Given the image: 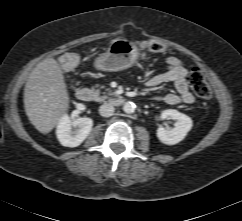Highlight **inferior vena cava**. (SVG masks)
<instances>
[{"mask_svg": "<svg viewBox=\"0 0 242 221\" xmlns=\"http://www.w3.org/2000/svg\"><path fill=\"white\" fill-rule=\"evenodd\" d=\"M115 108L109 103H105L100 106L99 113L103 117H110L114 114Z\"/></svg>", "mask_w": 242, "mask_h": 221, "instance_id": "1", "label": "inferior vena cava"}]
</instances>
